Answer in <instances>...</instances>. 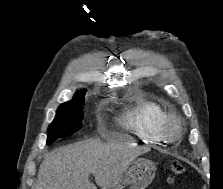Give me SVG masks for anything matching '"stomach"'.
I'll use <instances>...</instances> for the list:
<instances>
[{
	"instance_id": "0dacf381",
	"label": "stomach",
	"mask_w": 223,
	"mask_h": 189,
	"mask_svg": "<svg viewBox=\"0 0 223 189\" xmlns=\"http://www.w3.org/2000/svg\"><path fill=\"white\" fill-rule=\"evenodd\" d=\"M155 172L156 167L150 160L135 159L105 189H145L155 177Z\"/></svg>"
}]
</instances>
